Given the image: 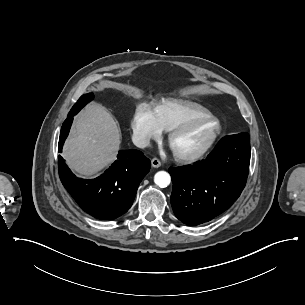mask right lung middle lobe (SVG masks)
<instances>
[{"instance_id":"right-lung-middle-lobe-1","label":"right lung middle lobe","mask_w":305,"mask_h":305,"mask_svg":"<svg viewBox=\"0 0 305 305\" xmlns=\"http://www.w3.org/2000/svg\"><path fill=\"white\" fill-rule=\"evenodd\" d=\"M93 97L94 95L92 93L84 94L79 98V100L75 103L73 107L77 108L78 112L82 107H84L88 102H90Z\"/></svg>"}]
</instances>
